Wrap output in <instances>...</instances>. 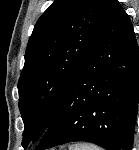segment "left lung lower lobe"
<instances>
[{
    "label": "left lung lower lobe",
    "instance_id": "1",
    "mask_svg": "<svg viewBox=\"0 0 139 150\" xmlns=\"http://www.w3.org/2000/svg\"><path fill=\"white\" fill-rule=\"evenodd\" d=\"M138 103V45L116 0L35 150L73 141L131 150Z\"/></svg>",
    "mask_w": 139,
    "mask_h": 150
}]
</instances>
